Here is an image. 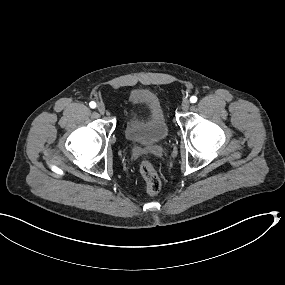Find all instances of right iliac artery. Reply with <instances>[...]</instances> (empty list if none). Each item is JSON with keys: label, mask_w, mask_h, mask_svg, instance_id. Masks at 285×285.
<instances>
[{"label": "right iliac artery", "mask_w": 285, "mask_h": 285, "mask_svg": "<svg viewBox=\"0 0 285 285\" xmlns=\"http://www.w3.org/2000/svg\"><path fill=\"white\" fill-rule=\"evenodd\" d=\"M89 105H90L91 108H95L96 107V103L94 101H91L89 103Z\"/></svg>", "instance_id": "right-iliac-artery-1"}]
</instances>
